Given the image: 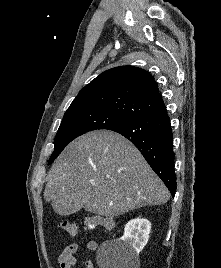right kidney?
<instances>
[{
	"instance_id": "right-kidney-1",
	"label": "right kidney",
	"mask_w": 221,
	"mask_h": 268,
	"mask_svg": "<svg viewBox=\"0 0 221 268\" xmlns=\"http://www.w3.org/2000/svg\"><path fill=\"white\" fill-rule=\"evenodd\" d=\"M150 231L151 223L149 220L144 218L132 219L125 225L121 241L128 249L137 254L147 244Z\"/></svg>"
}]
</instances>
